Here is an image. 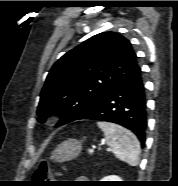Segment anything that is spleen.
Here are the masks:
<instances>
[{
    "mask_svg": "<svg viewBox=\"0 0 178 186\" xmlns=\"http://www.w3.org/2000/svg\"><path fill=\"white\" fill-rule=\"evenodd\" d=\"M97 125L104 132L107 145L118 159L130 166L139 164L140 143L131 131L110 122L99 121Z\"/></svg>",
    "mask_w": 178,
    "mask_h": 186,
    "instance_id": "3e777b00",
    "label": "spleen"
}]
</instances>
